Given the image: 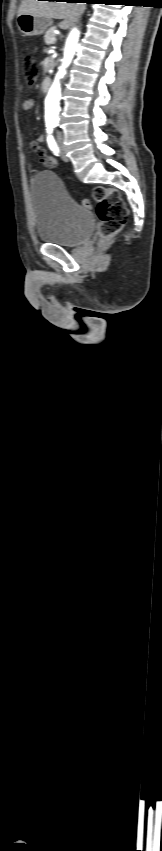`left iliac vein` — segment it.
I'll return each mask as SVG.
<instances>
[{
    "label": "left iliac vein",
    "instance_id": "left-iliac-vein-1",
    "mask_svg": "<svg viewBox=\"0 0 162 851\" xmlns=\"http://www.w3.org/2000/svg\"><path fill=\"white\" fill-rule=\"evenodd\" d=\"M60 153H61L62 160L65 161V162H68L69 158L67 157L66 152H65V150H64V148L61 144H60Z\"/></svg>",
    "mask_w": 162,
    "mask_h": 851
}]
</instances>
